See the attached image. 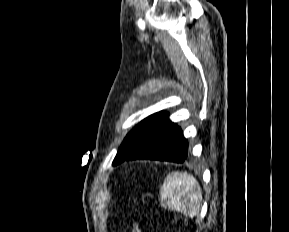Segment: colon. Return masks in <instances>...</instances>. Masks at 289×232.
<instances>
[{
    "mask_svg": "<svg viewBox=\"0 0 289 232\" xmlns=\"http://www.w3.org/2000/svg\"><path fill=\"white\" fill-rule=\"evenodd\" d=\"M132 232H142L137 222H133Z\"/></svg>",
    "mask_w": 289,
    "mask_h": 232,
    "instance_id": "1",
    "label": "colon"
}]
</instances>
